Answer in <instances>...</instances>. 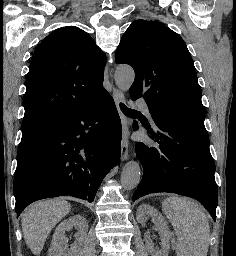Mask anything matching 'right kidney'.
Masks as SVG:
<instances>
[{"label": "right kidney", "instance_id": "obj_1", "mask_svg": "<svg viewBox=\"0 0 236 256\" xmlns=\"http://www.w3.org/2000/svg\"><path fill=\"white\" fill-rule=\"evenodd\" d=\"M71 228H77L78 232L75 234V242L72 244L71 248L67 246V238H65V232H69ZM88 232V222L84 216H72L68 220L61 222L57 226L54 234L53 240L50 244L48 250V256H79L81 246L85 242V238Z\"/></svg>", "mask_w": 236, "mask_h": 256}]
</instances>
